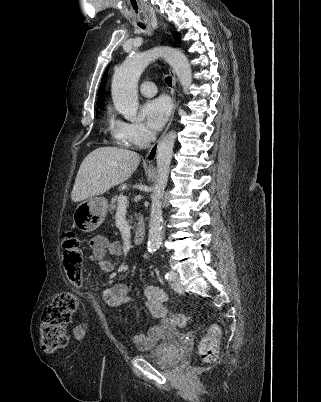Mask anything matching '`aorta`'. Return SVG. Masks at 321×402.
Here are the masks:
<instances>
[{
  "instance_id": "aorta-1",
  "label": "aorta",
  "mask_w": 321,
  "mask_h": 402,
  "mask_svg": "<svg viewBox=\"0 0 321 402\" xmlns=\"http://www.w3.org/2000/svg\"><path fill=\"white\" fill-rule=\"evenodd\" d=\"M164 58L177 75L181 86L187 90L192 83V71L187 57L180 51L170 47H155L149 51L131 53L119 68L112 80V99L115 108L128 120L138 117V80L145 68L155 59ZM176 132L167 133L158 145L157 180L151 195V210L148 233V252H155L161 243L162 231V196L168 182L170 163Z\"/></svg>"
}]
</instances>
